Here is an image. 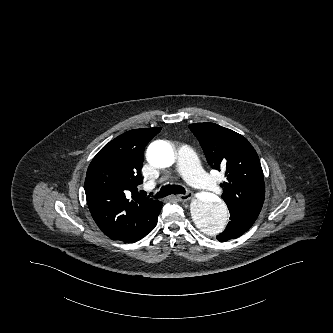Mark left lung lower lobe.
Returning <instances> with one entry per match:
<instances>
[{"label": "left lung lower lobe", "mask_w": 333, "mask_h": 333, "mask_svg": "<svg viewBox=\"0 0 333 333\" xmlns=\"http://www.w3.org/2000/svg\"><path fill=\"white\" fill-rule=\"evenodd\" d=\"M256 218L242 215L237 211H230V222L226 229L217 236L220 242L236 238L244 234L255 222Z\"/></svg>", "instance_id": "obj_1"}]
</instances>
